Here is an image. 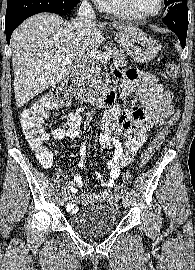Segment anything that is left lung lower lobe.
I'll return each instance as SVG.
<instances>
[{
    "instance_id": "left-lung-lower-lobe-1",
    "label": "left lung lower lobe",
    "mask_w": 195,
    "mask_h": 270,
    "mask_svg": "<svg viewBox=\"0 0 195 270\" xmlns=\"http://www.w3.org/2000/svg\"><path fill=\"white\" fill-rule=\"evenodd\" d=\"M166 7L168 11L163 22L178 36L180 44L184 48L188 29L187 2H176Z\"/></svg>"
}]
</instances>
